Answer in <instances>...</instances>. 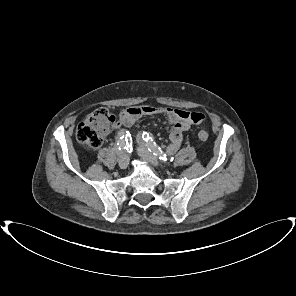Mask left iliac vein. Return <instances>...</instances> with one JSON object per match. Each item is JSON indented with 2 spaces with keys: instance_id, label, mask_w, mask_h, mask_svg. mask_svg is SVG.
Listing matches in <instances>:
<instances>
[{
  "instance_id": "obj_1",
  "label": "left iliac vein",
  "mask_w": 296,
  "mask_h": 296,
  "mask_svg": "<svg viewBox=\"0 0 296 296\" xmlns=\"http://www.w3.org/2000/svg\"><path fill=\"white\" fill-rule=\"evenodd\" d=\"M140 146L138 147V154L141 156L144 160L150 162L155 167H160L159 160L147 150V148L143 145V142H139Z\"/></svg>"
}]
</instances>
